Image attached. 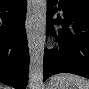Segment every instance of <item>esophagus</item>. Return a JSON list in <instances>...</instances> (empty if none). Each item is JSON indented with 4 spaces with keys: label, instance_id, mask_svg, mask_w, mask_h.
I'll return each instance as SVG.
<instances>
[{
    "label": "esophagus",
    "instance_id": "esophagus-1",
    "mask_svg": "<svg viewBox=\"0 0 89 89\" xmlns=\"http://www.w3.org/2000/svg\"><path fill=\"white\" fill-rule=\"evenodd\" d=\"M25 27H26L28 44H29V50L31 51L32 41H33V18H32V9H31L30 4L28 6Z\"/></svg>",
    "mask_w": 89,
    "mask_h": 89
}]
</instances>
